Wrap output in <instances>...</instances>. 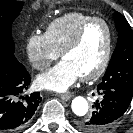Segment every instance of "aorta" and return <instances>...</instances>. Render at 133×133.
Instances as JSON below:
<instances>
[{
  "label": "aorta",
  "instance_id": "762f6f07",
  "mask_svg": "<svg viewBox=\"0 0 133 133\" xmlns=\"http://www.w3.org/2000/svg\"><path fill=\"white\" fill-rule=\"evenodd\" d=\"M72 111L76 116L83 117L88 112V102L82 96H77L72 100Z\"/></svg>",
  "mask_w": 133,
  "mask_h": 133
}]
</instances>
